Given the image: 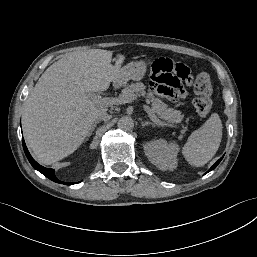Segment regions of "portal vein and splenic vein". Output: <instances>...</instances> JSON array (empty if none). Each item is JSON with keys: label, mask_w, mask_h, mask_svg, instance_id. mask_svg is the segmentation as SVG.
Here are the masks:
<instances>
[{"label": "portal vein and splenic vein", "mask_w": 257, "mask_h": 257, "mask_svg": "<svg viewBox=\"0 0 257 257\" xmlns=\"http://www.w3.org/2000/svg\"><path fill=\"white\" fill-rule=\"evenodd\" d=\"M90 98L93 101L106 106L130 103L136 99V97H130L127 95H120L119 97H102L98 94H91ZM142 106L153 122H155L156 124H161L160 120L155 116L152 109L148 105L143 104ZM163 125L172 126L171 124H163Z\"/></svg>", "instance_id": "portal-vein-and-splenic-vein-1"}]
</instances>
